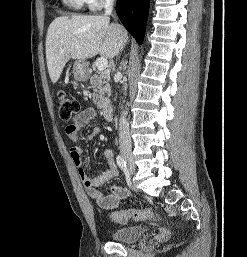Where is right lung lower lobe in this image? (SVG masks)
<instances>
[{
    "label": "right lung lower lobe",
    "instance_id": "obj_1",
    "mask_svg": "<svg viewBox=\"0 0 247 257\" xmlns=\"http://www.w3.org/2000/svg\"><path fill=\"white\" fill-rule=\"evenodd\" d=\"M150 0H118L116 12L125 28L142 44Z\"/></svg>",
    "mask_w": 247,
    "mask_h": 257
}]
</instances>
